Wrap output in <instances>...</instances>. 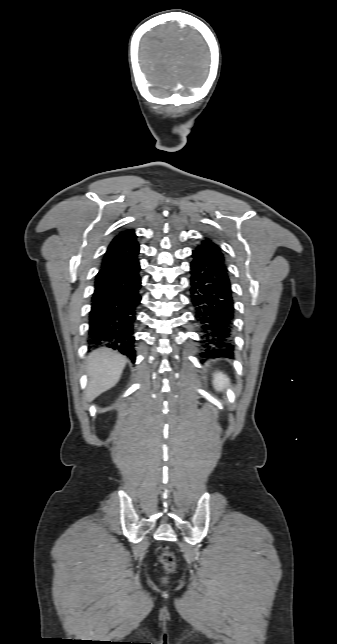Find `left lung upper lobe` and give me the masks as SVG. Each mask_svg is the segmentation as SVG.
<instances>
[{
    "mask_svg": "<svg viewBox=\"0 0 337 644\" xmlns=\"http://www.w3.org/2000/svg\"><path fill=\"white\" fill-rule=\"evenodd\" d=\"M194 251L215 260L227 270L225 259L220 247L210 238L205 237Z\"/></svg>",
    "mask_w": 337,
    "mask_h": 644,
    "instance_id": "obj_1",
    "label": "left lung upper lobe"
}]
</instances>
